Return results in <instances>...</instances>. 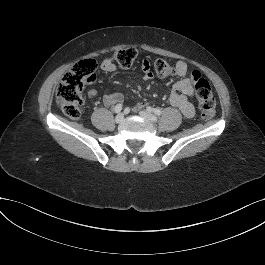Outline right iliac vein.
Instances as JSON below:
<instances>
[{
	"label": "right iliac vein",
	"instance_id": "63e3f726",
	"mask_svg": "<svg viewBox=\"0 0 265 265\" xmlns=\"http://www.w3.org/2000/svg\"><path fill=\"white\" fill-rule=\"evenodd\" d=\"M124 119V115L122 113H119L116 117H115V122L116 123H121Z\"/></svg>",
	"mask_w": 265,
	"mask_h": 265
}]
</instances>
